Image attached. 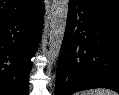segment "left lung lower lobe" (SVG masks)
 Wrapping results in <instances>:
<instances>
[{
    "mask_svg": "<svg viewBox=\"0 0 119 95\" xmlns=\"http://www.w3.org/2000/svg\"><path fill=\"white\" fill-rule=\"evenodd\" d=\"M92 88L119 93V12L69 0L55 95Z\"/></svg>",
    "mask_w": 119,
    "mask_h": 95,
    "instance_id": "1",
    "label": "left lung lower lobe"
}]
</instances>
